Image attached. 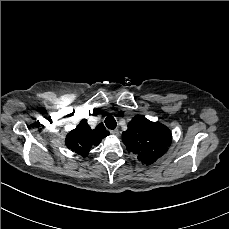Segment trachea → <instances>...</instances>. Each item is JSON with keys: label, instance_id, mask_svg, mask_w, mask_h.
<instances>
[{"label": "trachea", "instance_id": "3493384b", "mask_svg": "<svg viewBox=\"0 0 229 229\" xmlns=\"http://www.w3.org/2000/svg\"><path fill=\"white\" fill-rule=\"evenodd\" d=\"M105 124H106L108 129H115L116 128V120L111 115L106 117Z\"/></svg>", "mask_w": 229, "mask_h": 229}]
</instances>
